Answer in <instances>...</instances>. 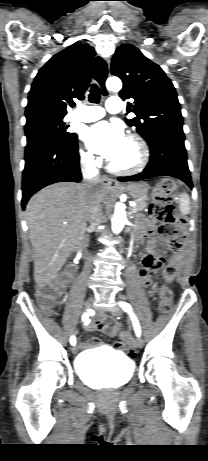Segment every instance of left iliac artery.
<instances>
[{
    "mask_svg": "<svg viewBox=\"0 0 208 461\" xmlns=\"http://www.w3.org/2000/svg\"><path fill=\"white\" fill-rule=\"evenodd\" d=\"M120 306L122 307V309H123L125 312L130 313V315H131V317H132V321H133V326H134L135 333H136L137 336H140V334H141L140 325H139V322H138L136 316H135L134 313L132 312L131 306H130L128 303H126V302H120Z\"/></svg>",
    "mask_w": 208,
    "mask_h": 461,
    "instance_id": "left-iliac-artery-1",
    "label": "left iliac artery"
}]
</instances>
